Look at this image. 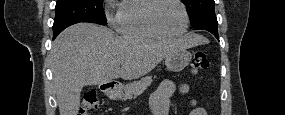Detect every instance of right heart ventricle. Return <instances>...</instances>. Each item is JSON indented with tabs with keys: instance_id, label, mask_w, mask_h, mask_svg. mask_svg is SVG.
I'll list each match as a JSON object with an SVG mask.
<instances>
[{
	"instance_id": "right-heart-ventricle-1",
	"label": "right heart ventricle",
	"mask_w": 285,
	"mask_h": 115,
	"mask_svg": "<svg viewBox=\"0 0 285 115\" xmlns=\"http://www.w3.org/2000/svg\"><path fill=\"white\" fill-rule=\"evenodd\" d=\"M155 0H129L120 4L115 24L124 36L161 39L165 36L150 24L148 15Z\"/></svg>"
}]
</instances>
